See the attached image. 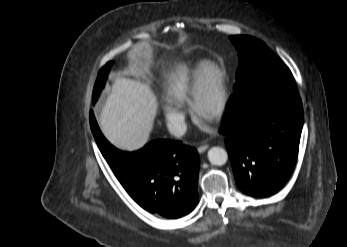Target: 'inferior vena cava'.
<instances>
[{"instance_id": "obj_1", "label": "inferior vena cava", "mask_w": 347, "mask_h": 247, "mask_svg": "<svg viewBox=\"0 0 347 247\" xmlns=\"http://www.w3.org/2000/svg\"><path fill=\"white\" fill-rule=\"evenodd\" d=\"M167 128L173 136L181 137L186 133L187 125L184 121H170Z\"/></svg>"}]
</instances>
